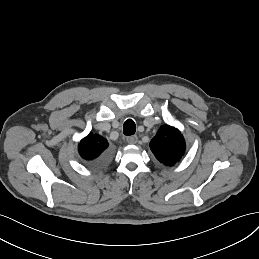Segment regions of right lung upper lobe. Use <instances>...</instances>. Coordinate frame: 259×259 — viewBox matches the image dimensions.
I'll return each mask as SVG.
<instances>
[{
	"label": "right lung upper lobe",
	"instance_id": "1",
	"mask_svg": "<svg viewBox=\"0 0 259 259\" xmlns=\"http://www.w3.org/2000/svg\"><path fill=\"white\" fill-rule=\"evenodd\" d=\"M109 146L107 139L99 134L89 133L78 146L80 156L86 161L98 158Z\"/></svg>",
	"mask_w": 259,
	"mask_h": 259
}]
</instances>
